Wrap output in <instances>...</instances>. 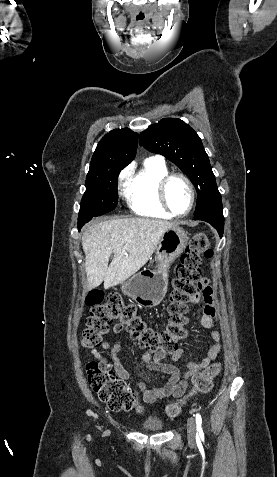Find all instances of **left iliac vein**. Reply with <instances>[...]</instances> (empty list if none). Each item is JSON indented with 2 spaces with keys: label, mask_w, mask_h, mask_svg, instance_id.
Returning <instances> with one entry per match:
<instances>
[{
  "label": "left iliac vein",
  "mask_w": 277,
  "mask_h": 477,
  "mask_svg": "<svg viewBox=\"0 0 277 477\" xmlns=\"http://www.w3.org/2000/svg\"><path fill=\"white\" fill-rule=\"evenodd\" d=\"M187 435L190 443L194 444L196 440V422L193 417H190L187 422Z\"/></svg>",
  "instance_id": "4c4485c4"
}]
</instances>
